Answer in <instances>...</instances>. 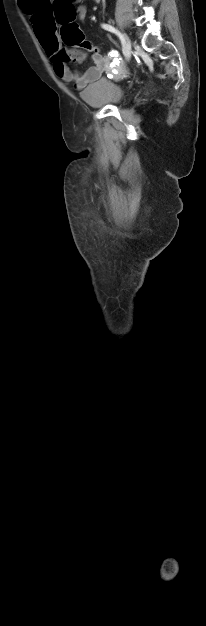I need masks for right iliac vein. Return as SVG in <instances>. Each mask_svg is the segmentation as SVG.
Listing matches in <instances>:
<instances>
[{
    "instance_id": "obj_1",
    "label": "right iliac vein",
    "mask_w": 206,
    "mask_h": 626,
    "mask_svg": "<svg viewBox=\"0 0 206 626\" xmlns=\"http://www.w3.org/2000/svg\"><path fill=\"white\" fill-rule=\"evenodd\" d=\"M124 38L123 52L127 60L131 57V41L129 37L124 33L122 34Z\"/></svg>"
}]
</instances>
